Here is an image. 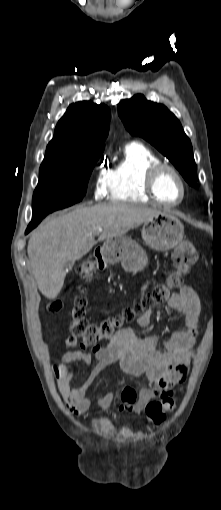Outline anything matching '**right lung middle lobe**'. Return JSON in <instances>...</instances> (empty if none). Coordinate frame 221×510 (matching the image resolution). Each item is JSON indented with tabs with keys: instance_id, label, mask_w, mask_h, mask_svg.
Returning a JSON list of instances; mask_svg holds the SVG:
<instances>
[{
	"instance_id": "dd1d6c3e",
	"label": "right lung middle lobe",
	"mask_w": 221,
	"mask_h": 510,
	"mask_svg": "<svg viewBox=\"0 0 221 510\" xmlns=\"http://www.w3.org/2000/svg\"><path fill=\"white\" fill-rule=\"evenodd\" d=\"M103 150H87L43 160L33 194V212L50 213L81 201L92 169Z\"/></svg>"
}]
</instances>
